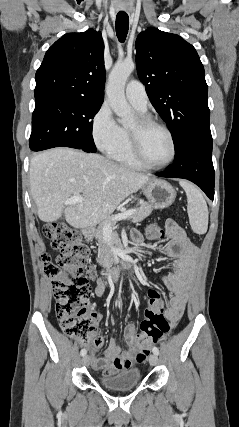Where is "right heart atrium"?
<instances>
[{
    "label": "right heart atrium",
    "mask_w": 239,
    "mask_h": 427,
    "mask_svg": "<svg viewBox=\"0 0 239 427\" xmlns=\"http://www.w3.org/2000/svg\"><path fill=\"white\" fill-rule=\"evenodd\" d=\"M92 137L97 148L106 154L121 142L122 128L106 104L102 105L93 117Z\"/></svg>",
    "instance_id": "obj_1"
}]
</instances>
